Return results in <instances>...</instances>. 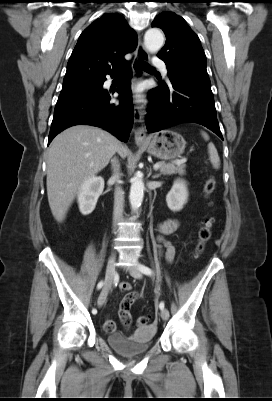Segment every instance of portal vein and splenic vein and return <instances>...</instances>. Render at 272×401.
I'll use <instances>...</instances> for the list:
<instances>
[{"label": "portal vein and splenic vein", "mask_w": 272, "mask_h": 401, "mask_svg": "<svg viewBox=\"0 0 272 401\" xmlns=\"http://www.w3.org/2000/svg\"><path fill=\"white\" fill-rule=\"evenodd\" d=\"M185 161H186V159H181V160H175V161H173V163H175V164H181V163H184ZM160 166H161L160 163H156V164L154 165V170H158V169L160 168Z\"/></svg>", "instance_id": "obj_1"}]
</instances>
